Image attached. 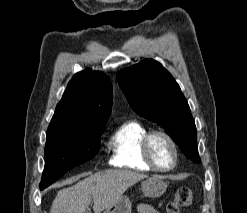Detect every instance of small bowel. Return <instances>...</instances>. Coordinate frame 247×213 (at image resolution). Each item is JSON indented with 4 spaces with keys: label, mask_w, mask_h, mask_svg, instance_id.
<instances>
[{
    "label": "small bowel",
    "mask_w": 247,
    "mask_h": 213,
    "mask_svg": "<svg viewBox=\"0 0 247 213\" xmlns=\"http://www.w3.org/2000/svg\"><path fill=\"white\" fill-rule=\"evenodd\" d=\"M139 213H160L156 208L149 204H140L138 206Z\"/></svg>",
    "instance_id": "1"
}]
</instances>
